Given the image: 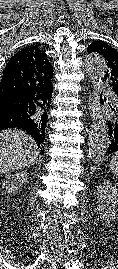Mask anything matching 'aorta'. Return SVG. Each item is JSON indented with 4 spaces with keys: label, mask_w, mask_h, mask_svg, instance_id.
Instances as JSON below:
<instances>
[{
    "label": "aorta",
    "mask_w": 118,
    "mask_h": 269,
    "mask_svg": "<svg viewBox=\"0 0 118 269\" xmlns=\"http://www.w3.org/2000/svg\"><path fill=\"white\" fill-rule=\"evenodd\" d=\"M86 71L93 81V95L97 97L102 79L105 75L106 63L99 55H90L85 60ZM108 136L103 115L97 109L92 120L88 157L93 162H99L106 153L108 147Z\"/></svg>",
    "instance_id": "obj_1"
}]
</instances>
